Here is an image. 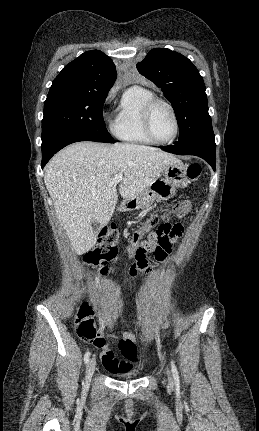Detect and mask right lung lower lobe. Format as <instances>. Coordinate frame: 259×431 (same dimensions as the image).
<instances>
[{"instance_id": "98d812e1", "label": "right lung lower lobe", "mask_w": 259, "mask_h": 431, "mask_svg": "<svg viewBox=\"0 0 259 431\" xmlns=\"http://www.w3.org/2000/svg\"><path fill=\"white\" fill-rule=\"evenodd\" d=\"M79 141H95V142H105L99 138L94 137L90 134H85L80 131H61L48 139L42 141V163L41 167L43 168L49 159L57 153L59 150L64 148L65 146Z\"/></svg>"}]
</instances>
